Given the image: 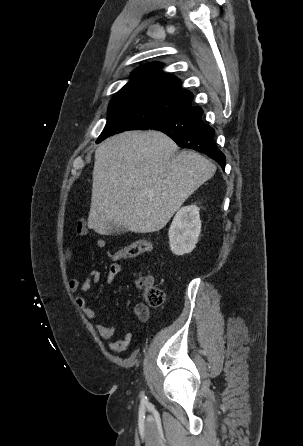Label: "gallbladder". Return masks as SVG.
I'll return each instance as SVG.
<instances>
[{
	"label": "gallbladder",
	"instance_id": "bac80fb5",
	"mask_svg": "<svg viewBox=\"0 0 303 446\" xmlns=\"http://www.w3.org/2000/svg\"><path fill=\"white\" fill-rule=\"evenodd\" d=\"M124 228L123 227H114L111 232L112 233H119V232H124Z\"/></svg>",
	"mask_w": 303,
	"mask_h": 446
}]
</instances>
